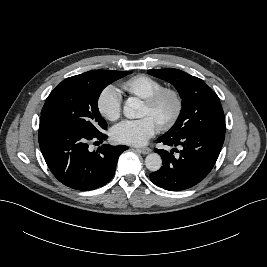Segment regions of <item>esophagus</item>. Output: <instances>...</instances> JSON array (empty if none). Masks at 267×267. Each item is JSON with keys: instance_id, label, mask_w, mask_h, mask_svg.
Segmentation results:
<instances>
[{"instance_id": "obj_1", "label": "esophagus", "mask_w": 267, "mask_h": 267, "mask_svg": "<svg viewBox=\"0 0 267 267\" xmlns=\"http://www.w3.org/2000/svg\"><path fill=\"white\" fill-rule=\"evenodd\" d=\"M139 152H141L142 154H149L151 152V149L148 147H144V148H138L137 149Z\"/></svg>"}]
</instances>
